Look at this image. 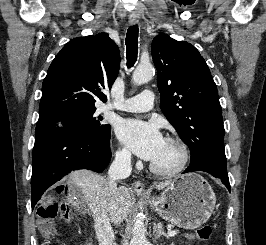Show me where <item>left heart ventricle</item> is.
<instances>
[{
  "label": "left heart ventricle",
  "mask_w": 266,
  "mask_h": 245,
  "mask_svg": "<svg viewBox=\"0 0 266 245\" xmlns=\"http://www.w3.org/2000/svg\"><path fill=\"white\" fill-rule=\"evenodd\" d=\"M181 161L180 147L174 143L165 140L161 150L159 151L152 164L161 170H173Z\"/></svg>",
  "instance_id": "obj_1"
}]
</instances>
